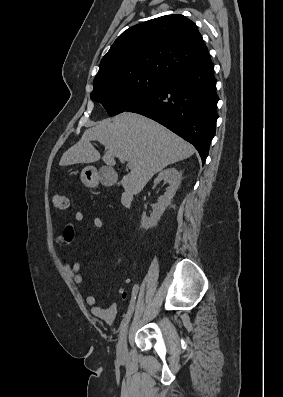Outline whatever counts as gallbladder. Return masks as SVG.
Segmentation results:
<instances>
[{
    "label": "gallbladder",
    "instance_id": "obj_1",
    "mask_svg": "<svg viewBox=\"0 0 283 397\" xmlns=\"http://www.w3.org/2000/svg\"><path fill=\"white\" fill-rule=\"evenodd\" d=\"M101 182L105 186H112L117 182V174L113 169L103 167L100 169Z\"/></svg>",
    "mask_w": 283,
    "mask_h": 397
}]
</instances>
